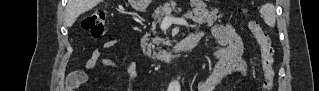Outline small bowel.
Instances as JSON below:
<instances>
[{
	"instance_id": "c3829d8e",
	"label": "small bowel",
	"mask_w": 319,
	"mask_h": 91,
	"mask_svg": "<svg viewBox=\"0 0 319 91\" xmlns=\"http://www.w3.org/2000/svg\"><path fill=\"white\" fill-rule=\"evenodd\" d=\"M192 34L199 35L200 31H195ZM212 34L216 40L214 56L217 59V63L199 82L197 87L198 91H212L214 86L228 74L237 72L244 75L247 70V65L244 60V42L235 28L228 23L218 24L212 28ZM119 43L117 39H108L103 42V48L107 50L113 49L117 47ZM99 66L122 67L126 70L130 81L136 74V67L132 63L121 65L113 59L106 57L100 49L96 48L86 60L85 68L87 70H93ZM85 80L86 74L74 72L70 79V85L76 86Z\"/></svg>"
}]
</instances>
